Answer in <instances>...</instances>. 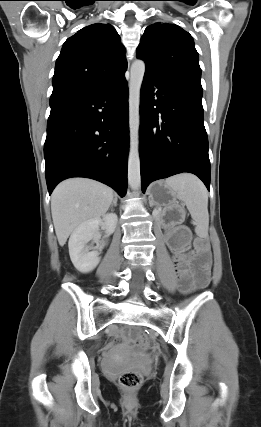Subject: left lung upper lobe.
Here are the masks:
<instances>
[{"label": "left lung upper lobe", "instance_id": "obj_1", "mask_svg": "<svg viewBox=\"0 0 261 427\" xmlns=\"http://www.w3.org/2000/svg\"><path fill=\"white\" fill-rule=\"evenodd\" d=\"M137 58L145 61L147 74L201 86V69L193 38L177 25L159 22L148 26L137 48Z\"/></svg>", "mask_w": 261, "mask_h": 427}]
</instances>
